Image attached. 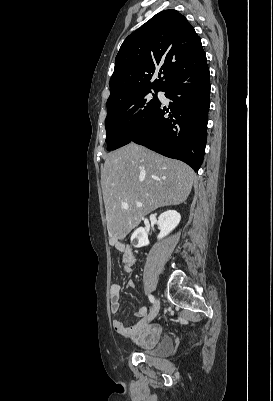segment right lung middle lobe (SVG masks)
I'll return each mask as SVG.
<instances>
[{
  "label": "right lung middle lobe",
  "mask_w": 273,
  "mask_h": 401,
  "mask_svg": "<svg viewBox=\"0 0 273 401\" xmlns=\"http://www.w3.org/2000/svg\"><path fill=\"white\" fill-rule=\"evenodd\" d=\"M160 91L154 89L155 94ZM151 90L128 96L107 106L105 120L107 150H115L131 142L139 129L154 114L160 101L150 97Z\"/></svg>",
  "instance_id": "1"
}]
</instances>
